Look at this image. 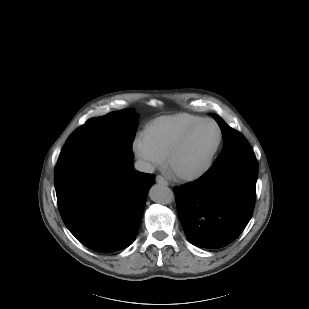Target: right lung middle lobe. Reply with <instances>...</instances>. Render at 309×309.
Returning <instances> with one entry per match:
<instances>
[{"label": "right lung middle lobe", "mask_w": 309, "mask_h": 309, "mask_svg": "<svg viewBox=\"0 0 309 309\" xmlns=\"http://www.w3.org/2000/svg\"><path fill=\"white\" fill-rule=\"evenodd\" d=\"M137 126L138 115L133 109L90 119L68 138L59 156L55 173H59L72 160L96 147H113L132 152Z\"/></svg>", "instance_id": "1"}]
</instances>
